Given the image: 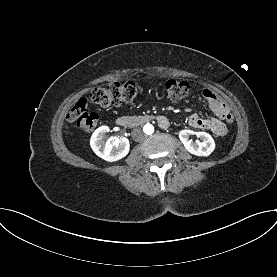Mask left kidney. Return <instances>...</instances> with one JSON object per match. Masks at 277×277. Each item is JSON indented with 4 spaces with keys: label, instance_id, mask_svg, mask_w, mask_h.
Masks as SVG:
<instances>
[{
    "label": "left kidney",
    "instance_id": "1",
    "mask_svg": "<svg viewBox=\"0 0 277 277\" xmlns=\"http://www.w3.org/2000/svg\"><path fill=\"white\" fill-rule=\"evenodd\" d=\"M191 134H193L191 130H182L179 133V139L189 153L196 156L207 157L214 151L215 142L210 134L206 132H197L196 135L202 142L192 141L190 139Z\"/></svg>",
    "mask_w": 277,
    "mask_h": 277
}]
</instances>
